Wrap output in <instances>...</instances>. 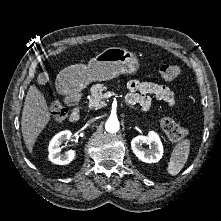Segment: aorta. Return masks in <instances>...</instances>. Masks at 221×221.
<instances>
[{
    "label": "aorta",
    "mask_w": 221,
    "mask_h": 221,
    "mask_svg": "<svg viewBox=\"0 0 221 221\" xmlns=\"http://www.w3.org/2000/svg\"><path fill=\"white\" fill-rule=\"evenodd\" d=\"M119 127V121L115 117H110L105 123V129L109 133H116Z\"/></svg>",
    "instance_id": "1"
}]
</instances>
